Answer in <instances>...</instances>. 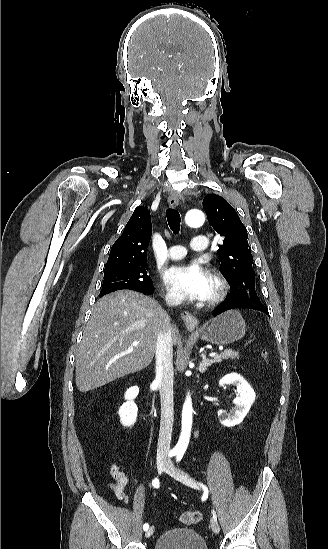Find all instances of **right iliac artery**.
I'll list each match as a JSON object with an SVG mask.
<instances>
[{
	"mask_svg": "<svg viewBox=\"0 0 328 549\" xmlns=\"http://www.w3.org/2000/svg\"><path fill=\"white\" fill-rule=\"evenodd\" d=\"M174 455H175L174 453H170V454H169L170 457H172V456H174ZM152 485H153L155 488H159V485H160L159 480H158L157 478H155V479L152 481ZM148 528H149V525H148L147 523H145V524L143 525L144 531L148 530Z\"/></svg>",
	"mask_w": 328,
	"mask_h": 549,
	"instance_id": "1",
	"label": "right iliac artery"
}]
</instances>
